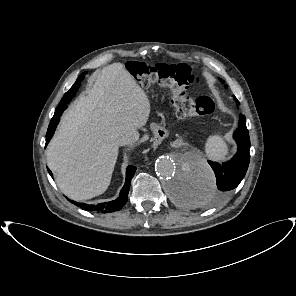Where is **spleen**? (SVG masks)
Listing matches in <instances>:
<instances>
[{
	"instance_id": "spleen-1",
	"label": "spleen",
	"mask_w": 296,
	"mask_h": 296,
	"mask_svg": "<svg viewBox=\"0 0 296 296\" xmlns=\"http://www.w3.org/2000/svg\"><path fill=\"white\" fill-rule=\"evenodd\" d=\"M205 151L208 157L214 161H220L228 154L227 146L219 135H211L205 144Z\"/></svg>"
}]
</instances>
